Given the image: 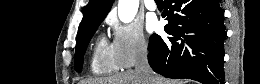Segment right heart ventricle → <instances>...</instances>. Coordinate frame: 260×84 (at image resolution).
Listing matches in <instances>:
<instances>
[{"label":"right heart ventricle","instance_id":"1","mask_svg":"<svg viewBox=\"0 0 260 84\" xmlns=\"http://www.w3.org/2000/svg\"><path fill=\"white\" fill-rule=\"evenodd\" d=\"M90 69L96 75L108 74L118 69L112 55L111 46L103 38L96 42L91 56Z\"/></svg>","mask_w":260,"mask_h":84}]
</instances>
